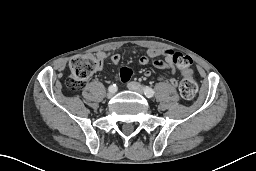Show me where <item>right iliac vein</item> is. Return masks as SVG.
Masks as SVG:
<instances>
[{
	"label": "right iliac vein",
	"instance_id": "right-iliac-vein-1",
	"mask_svg": "<svg viewBox=\"0 0 256 171\" xmlns=\"http://www.w3.org/2000/svg\"><path fill=\"white\" fill-rule=\"evenodd\" d=\"M114 94H115V91L109 90L108 93H107V97L110 99L114 96Z\"/></svg>",
	"mask_w": 256,
	"mask_h": 171
}]
</instances>
